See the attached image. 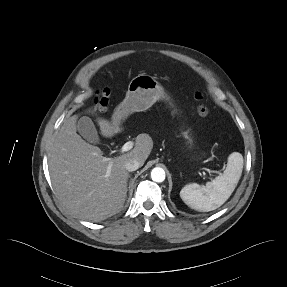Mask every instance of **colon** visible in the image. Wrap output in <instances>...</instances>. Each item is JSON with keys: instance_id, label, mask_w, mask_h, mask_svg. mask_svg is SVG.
<instances>
[{"instance_id": "5ec220e1", "label": "colon", "mask_w": 287, "mask_h": 287, "mask_svg": "<svg viewBox=\"0 0 287 287\" xmlns=\"http://www.w3.org/2000/svg\"><path fill=\"white\" fill-rule=\"evenodd\" d=\"M194 98L198 102L195 108V114L202 118L206 117L208 114V108L206 107L205 104L201 102L202 99L201 95L197 93L195 94ZM109 99H110V91L108 90L99 91L95 100L96 108L100 111H105L108 107Z\"/></svg>"}]
</instances>
